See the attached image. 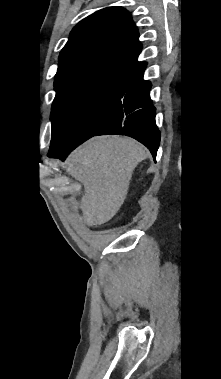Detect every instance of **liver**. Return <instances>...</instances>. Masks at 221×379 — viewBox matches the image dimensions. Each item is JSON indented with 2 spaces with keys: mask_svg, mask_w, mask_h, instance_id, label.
<instances>
[{
  "mask_svg": "<svg viewBox=\"0 0 221 379\" xmlns=\"http://www.w3.org/2000/svg\"><path fill=\"white\" fill-rule=\"evenodd\" d=\"M148 156L128 137L99 136L74 150L66 171L84 186L80 208L88 224H104L116 215L128 193L136 166Z\"/></svg>",
  "mask_w": 221,
  "mask_h": 379,
  "instance_id": "1",
  "label": "liver"
}]
</instances>
